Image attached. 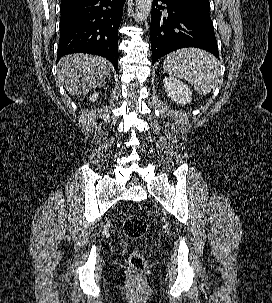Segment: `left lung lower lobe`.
I'll return each instance as SVG.
<instances>
[{"mask_svg": "<svg viewBox=\"0 0 272 303\" xmlns=\"http://www.w3.org/2000/svg\"><path fill=\"white\" fill-rule=\"evenodd\" d=\"M209 11V0H153L150 32L152 62L184 47L205 49L219 58Z\"/></svg>", "mask_w": 272, "mask_h": 303, "instance_id": "1", "label": "left lung lower lobe"}]
</instances>
